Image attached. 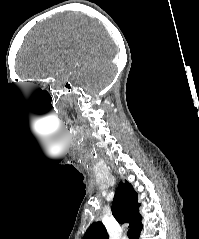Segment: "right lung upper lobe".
Instances as JSON below:
<instances>
[{
  "instance_id": "obj_1",
  "label": "right lung upper lobe",
  "mask_w": 199,
  "mask_h": 239,
  "mask_svg": "<svg viewBox=\"0 0 199 239\" xmlns=\"http://www.w3.org/2000/svg\"><path fill=\"white\" fill-rule=\"evenodd\" d=\"M138 194L133 186L120 182L112 202V214L120 223H130L129 227L136 230L141 224V215L138 212L140 203ZM83 239H108L106 228L101 222H94L87 229Z\"/></svg>"
}]
</instances>
